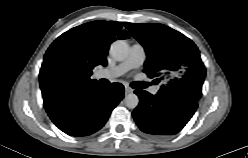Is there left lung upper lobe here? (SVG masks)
<instances>
[{
  "instance_id": "obj_1",
  "label": "left lung upper lobe",
  "mask_w": 248,
  "mask_h": 158,
  "mask_svg": "<svg viewBox=\"0 0 248 158\" xmlns=\"http://www.w3.org/2000/svg\"><path fill=\"white\" fill-rule=\"evenodd\" d=\"M124 25L145 49L144 72L150 78L163 75L167 80L157 94L197 102L202 96L206 76L197 46L182 33L163 24L125 22Z\"/></svg>"
}]
</instances>
